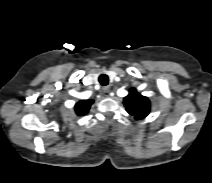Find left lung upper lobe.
<instances>
[{
	"label": "left lung upper lobe",
	"mask_w": 212,
	"mask_h": 183,
	"mask_svg": "<svg viewBox=\"0 0 212 183\" xmlns=\"http://www.w3.org/2000/svg\"><path fill=\"white\" fill-rule=\"evenodd\" d=\"M124 105L127 112L135 116V119H143L150 112L149 99L140 95L134 88H131L129 95L124 98Z\"/></svg>",
	"instance_id": "left-lung-upper-lobe-1"
}]
</instances>
